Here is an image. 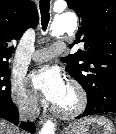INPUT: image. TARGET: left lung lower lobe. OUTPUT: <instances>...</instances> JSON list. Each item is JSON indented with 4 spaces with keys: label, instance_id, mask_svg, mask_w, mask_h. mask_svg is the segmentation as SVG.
<instances>
[{
    "label": "left lung lower lobe",
    "instance_id": "obj_1",
    "mask_svg": "<svg viewBox=\"0 0 116 134\" xmlns=\"http://www.w3.org/2000/svg\"><path fill=\"white\" fill-rule=\"evenodd\" d=\"M99 113H116V100L103 99L88 102L86 110L82 114V116L94 115Z\"/></svg>",
    "mask_w": 116,
    "mask_h": 134
}]
</instances>
